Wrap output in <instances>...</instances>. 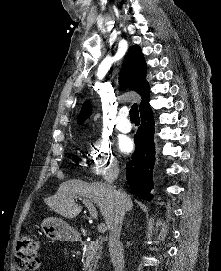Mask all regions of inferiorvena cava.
Here are the masks:
<instances>
[{
    "mask_svg": "<svg viewBox=\"0 0 221 271\" xmlns=\"http://www.w3.org/2000/svg\"><path fill=\"white\" fill-rule=\"evenodd\" d=\"M109 187H113V185H109ZM114 193H116V201L113 209L112 219L108 225L109 255L111 257L114 271H124L125 267L124 249L120 241V233L125 215L124 197H126V195H123L120 189H118V191H114Z\"/></svg>",
    "mask_w": 221,
    "mask_h": 271,
    "instance_id": "602c4592",
    "label": "inferior vena cava"
}]
</instances>
